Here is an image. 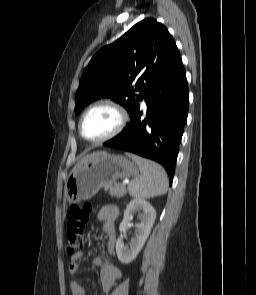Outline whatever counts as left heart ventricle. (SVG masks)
<instances>
[{
	"mask_svg": "<svg viewBox=\"0 0 256 295\" xmlns=\"http://www.w3.org/2000/svg\"><path fill=\"white\" fill-rule=\"evenodd\" d=\"M117 123L118 115L112 108L97 107L86 116L83 133L88 139H100L112 132Z\"/></svg>",
	"mask_w": 256,
	"mask_h": 295,
	"instance_id": "left-heart-ventricle-1",
	"label": "left heart ventricle"
}]
</instances>
